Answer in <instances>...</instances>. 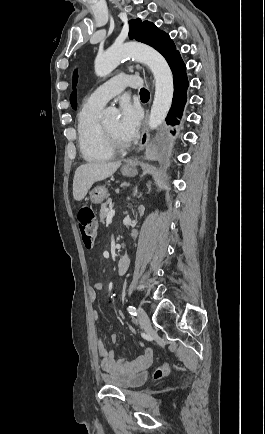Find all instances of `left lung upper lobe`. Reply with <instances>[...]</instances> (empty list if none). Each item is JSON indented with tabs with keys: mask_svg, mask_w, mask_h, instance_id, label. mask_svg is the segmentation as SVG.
<instances>
[{
	"mask_svg": "<svg viewBox=\"0 0 265 434\" xmlns=\"http://www.w3.org/2000/svg\"><path fill=\"white\" fill-rule=\"evenodd\" d=\"M129 27L130 39H136L152 46L166 58L169 65L177 55H180L169 35L159 30L153 23L148 21L142 22L138 18L131 20Z\"/></svg>",
	"mask_w": 265,
	"mask_h": 434,
	"instance_id": "1",
	"label": "left lung upper lobe"
}]
</instances>
